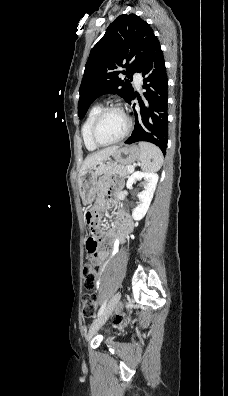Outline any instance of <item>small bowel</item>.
I'll return each mask as SVG.
<instances>
[{"label": "small bowel", "mask_w": 228, "mask_h": 396, "mask_svg": "<svg viewBox=\"0 0 228 396\" xmlns=\"http://www.w3.org/2000/svg\"><path fill=\"white\" fill-rule=\"evenodd\" d=\"M116 181H112L111 186H102L100 188L99 191V198L98 200L92 205L91 210L94 212L96 219L98 217L101 216V213L103 211L104 208V202H103V193H110L111 187L116 185ZM118 216H122L123 218H125L131 226V230H132V224L129 220V218L124 215L122 212L117 211ZM130 230V232H131ZM129 232V233H130ZM95 236L98 238L99 241H110V242H114L116 237L118 236L117 231L115 229H110L108 231H103L101 229H99L98 227L96 228V232H95ZM94 261L101 267H104V264L108 258V251L104 248H98L97 251L92 255ZM101 279H102V274L99 273L96 281H95V285L97 287V289L100 288V283H101Z\"/></svg>", "instance_id": "1"}]
</instances>
